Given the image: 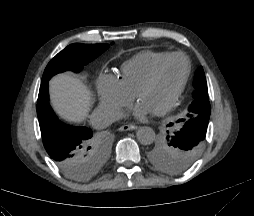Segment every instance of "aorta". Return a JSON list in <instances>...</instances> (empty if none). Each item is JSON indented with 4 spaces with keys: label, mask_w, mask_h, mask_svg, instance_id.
I'll use <instances>...</instances> for the list:
<instances>
[{
    "label": "aorta",
    "mask_w": 254,
    "mask_h": 216,
    "mask_svg": "<svg viewBox=\"0 0 254 216\" xmlns=\"http://www.w3.org/2000/svg\"><path fill=\"white\" fill-rule=\"evenodd\" d=\"M137 139L143 145H150L155 140V132L151 127H141L137 131Z\"/></svg>",
    "instance_id": "1"
}]
</instances>
